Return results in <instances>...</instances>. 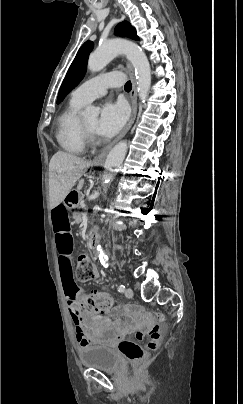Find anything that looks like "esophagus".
<instances>
[{"label": "esophagus", "mask_w": 243, "mask_h": 404, "mask_svg": "<svg viewBox=\"0 0 243 404\" xmlns=\"http://www.w3.org/2000/svg\"><path fill=\"white\" fill-rule=\"evenodd\" d=\"M126 66H127L128 71H129V75H130L131 82H132V90L130 92L132 113H131V116H130V119H129L127 125L124 127L122 132L118 135V137H116V139H114L108 145H105V147H103V149L99 152V154L93 159L94 164H102L103 163V160L106 157V155L108 154L109 150L113 147V145L116 142H118L120 139H122V137H124L127 134V132L131 128V126L134 123L135 118H136L137 100H138L136 77H135L134 70H133L131 64L126 62Z\"/></svg>", "instance_id": "esophagus-1"}]
</instances>
